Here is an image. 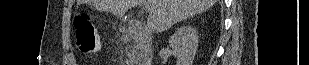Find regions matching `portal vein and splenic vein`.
Segmentation results:
<instances>
[{"label": "portal vein and splenic vein", "mask_w": 309, "mask_h": 65, "mask_svg": "<svg viewBox=\"0 0 309 65\" xmlns=\"http://www.w3.org/2000/svg\"><path fill=\"white\" fill-rule=\"evenodd\" d=\"M146 9L149 10V6H147Z\"/></svg>", "instance_id": "portal-vein-and-splenic-vein-1"}]
</instances>
